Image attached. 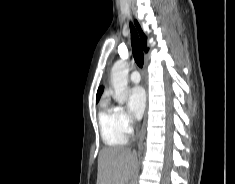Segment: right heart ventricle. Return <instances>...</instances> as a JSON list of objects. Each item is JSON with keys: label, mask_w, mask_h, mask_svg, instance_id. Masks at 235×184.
Instances as JSON below:
<instances>
[{"label": "right heart ventricle", "mask_w": 235, "mask_h": 184, "mask_svg": "<svg viewBox=\"0 0 235 184\" xmlns=\"http://www.w3.org/2000/svg\"><path fill=\"white\" fill-rule=\"evenodd\" d=\"M98 123L101 137L107 148L101 153L100 159L105 161L113 158L128 142V136L122 131L114 107L102 105L98 112Z\"/></svg>", "instance_id": "obj_1"}]
</instances>
